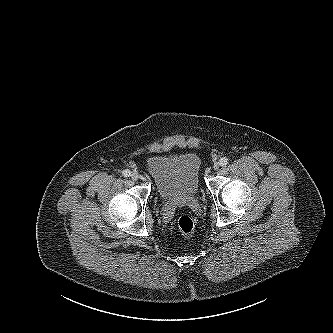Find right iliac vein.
Segmentation results:
<instances>
[{"label": "right iliac vein", "instance_id": "obj_1", "mask_svg": "<svg viewBox=\"0 0 333 333\" xmlns=\"http://www.w3.org/2000/svg\"><path fill=\"white\" fill-rule=\"evenodd\" d=\"M130 176L133 181H136L139 178V174L137 172H132Z\"/></svg>", "mask_w": 333, "mask_h": 333}]
</instances>
